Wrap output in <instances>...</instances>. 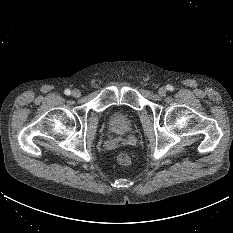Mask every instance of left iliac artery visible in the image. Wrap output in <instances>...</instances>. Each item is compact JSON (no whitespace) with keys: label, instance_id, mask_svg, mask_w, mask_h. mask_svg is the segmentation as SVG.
I'll return each instance as SVG.
<instances>
[{"label":"left iliac artery","instance_id":"left-iliac-artery-1","mask_svg":"<svg viewBox=\"0 0 233 233\" xmlns=\"http://www.w3.org/2000/svg\"><path fill=\"white\" fill-rule=\"evenodd\" d=\"M167 90L173 91V86L167 85Z\"/></svg>","mask_w":233,"mask_h":233}]
</instances>
